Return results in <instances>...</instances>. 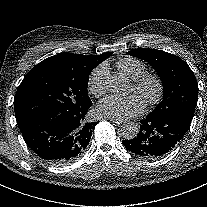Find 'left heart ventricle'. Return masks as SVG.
Listing matches in <instances>:
<instances>
[{
	"mask_svg": "<svg viewBox=\"0 0 207 207\" xmlns=\"http://www.w3.org/2000/svg\"><path fill=\"white\" fill-rule=\"evenodd\" d=\"M132 90H133V88H131V91H132ZM131 91H130V92H131ZM137 94H138V93H137ZM138 95L143 99V96H142L141 94H138Z\"/></svg>",
	"mask_w": 207,
	"mask_h": 207,
	"instance_id": "obj_1",
	"label": "left heart ventricle"
}]
</instances>
